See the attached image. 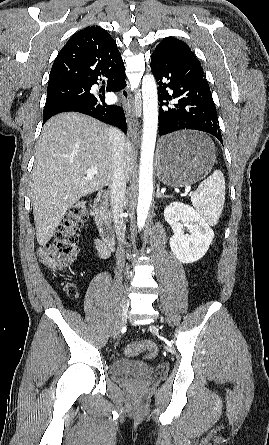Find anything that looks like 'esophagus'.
<instances>
[{"label": "esophagus", "mask_w": 269, "mask_h": 445, "mask_svg": "<svg viewBox=\"0 0 269 445\" xmlns=\"http://www.w3.org/2000/svg\"><path fill=\"white\" fill-rule=\"evenodd\" d=\"M123 107L126 113L128 135L134 143H139L140 131L138 113L141 110L140 100L129 93L127 89L121 91Z\"/></svg>", "instance_id": "34e87169"}]
</instances>
